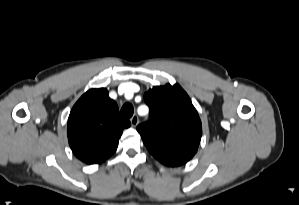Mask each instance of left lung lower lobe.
<instances>
[{"mask_svg":"<svg viewBox=\"0 0 299 205\" xmlns=\"http://www.w3.org/2000/svg\"><path fill=\"white\" fill-rule=\"evenodd\" d=\"M148 151L162 164L176 167L188 162L197 152V147L186 145L149 146Z\"/></svg>","mask_w":299,"mask_h":205,"instance_id":"obj_1","label":"left lung lower lobe"}]
</instances>
